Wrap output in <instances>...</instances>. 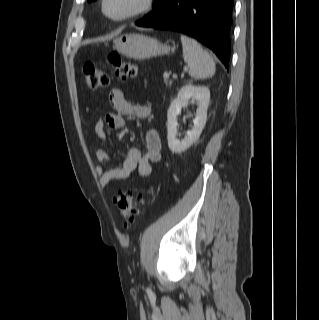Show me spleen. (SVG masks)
<instances>
[{
  "mask_svg": "<svg viewBox=\"0 0 319 320\" xmlns=\"http://www.w3.org/2000/svg\"><path fill=\"white\" fill-rule=\"evenodd\" d=\"M184 61L189 65V75L195 79L212 77L215 63L208 52L194 39L181 36Z\"/></svg>",
  "mask_w": 319,
  "mask_h": 320,
  "instance_id": "3e777b00",
  "label": "spleen"
}]
</instances>
